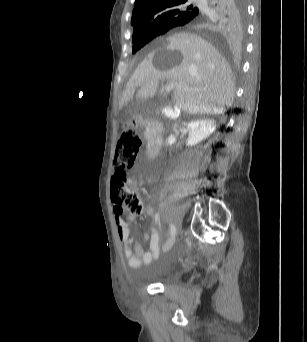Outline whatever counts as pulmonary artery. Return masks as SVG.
I'll list each match as a JSON object with an SVG mask.
<instances>
[{
  "label": "pulmonary artery",
  "instance_id": "1",
  "mask_svg": "<svg viewBox=\"0 0 307 342\" xmlns=\"http://www.w3.org/2000/svg\"><path fill=\"white\" fill-rule=\"evenodd\" d=\"M199 2H201L202 10L206 11L207 10V6L205 4L206 1H199Z\"/></svg>",
  "mask_w": 307,
  "mask_h": 342
}]
</instances>
